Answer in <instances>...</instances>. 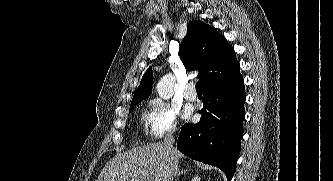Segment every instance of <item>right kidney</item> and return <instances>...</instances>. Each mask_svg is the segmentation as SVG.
<instances>
[{
    "label": "right kidney",
    "mask_w": 333,
    "mask_h": 181,
    "mask_svg": "<svg viewBox=\"0 0 333 181\" xmlns=\"http://www.w3.org/2000/svg\"><path fill=\"white\" fill-rule=\"evenodd\" d=\"M191 181H201V178L199 176H195Z\"/></svg>",
    "instance_id": "obj_1"
}]
</instances>
